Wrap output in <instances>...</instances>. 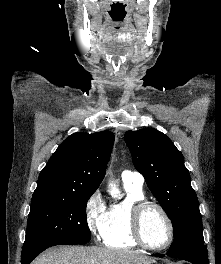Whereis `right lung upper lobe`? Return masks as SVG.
I'll list each match as a JSON object with an SVG mask.
<instances>
[{
	"label": "right lung upper lobe",
	"instance_id": "cb5924a9",
	"mask_svg": "<svg viewBox=\"0 0 221 264\" xmlns=\"http://www.w3.org/2000/svg\"><path fill=\"white\" fill-rule=\"evenodd\" d=\"M113 144L110 131L72 134L40 172L34 193H94L105 176Z\"/></svg>",
	"mask_w": 221,
	"mask_h": 264
}]
</instances>
